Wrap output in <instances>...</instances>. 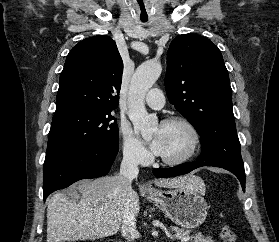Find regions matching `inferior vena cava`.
<instances>
[{"label":"inferior vena cava","instance_id":"602c4592","mask_svg":"<svg viewBox=\"0 0 279 242\" xmlns=\"http://www.w3.org/2000/svg\"><path fill=\"white\" fill-rule=\"evenodd\" d=\"M138 163L139 156L137 153L134 150H129L124 153L120 166V176L122 178L121 195L125 198L121 234L127 242L134 241L138 234L135 215L130 205V199L133 193L131 182L138 175Z\"/></svg>","mask_w":279,"mask_h":242}]
</instances>
